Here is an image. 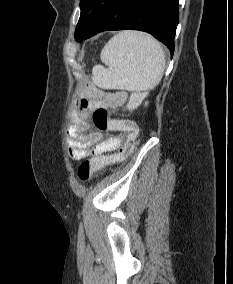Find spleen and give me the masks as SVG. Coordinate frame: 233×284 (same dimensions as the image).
Returning a JSON list of instances; mask_svg holds the SVG:
<instances>
[{
	"instance_id": "1",
	"label": "spleen",
	"mask_w": 233,
	"mask_h": 284,
	"mask_svg": "<svg viewBox=\"0 0 233 284\" xmlns=\"http://www.w3.org/2000/svg\"><path fill=\"white\" fill-rule=\"evenodd\" d=\"M108 66L93 68V82L100 88L148 91L161 81L165 54L158 41L139 31H122L112 37L101 51Z\"/></svg>"
}]
</instances>
